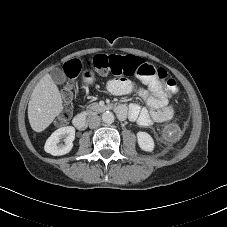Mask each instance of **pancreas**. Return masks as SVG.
<instances>
[{
  "instance_id": "cf45deb5",
  "label": "pancreas",
  "mask_w": 227,
  "mask_h": 227,
  "mask_svg": "<svg viewBox=\"0 0 227 227\" xmlns=\"http://www.w3.org/2000/svg\"><path fill=\"white\" fill-rule=\"evenodd\" d=\"M101 108H102V107L100 106V104H98V103H92L91 105H89V106L87 107V111H88L89 113L93 114V113H97L98 111H100Z\"/></svg>"
}]
</instances>
